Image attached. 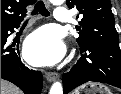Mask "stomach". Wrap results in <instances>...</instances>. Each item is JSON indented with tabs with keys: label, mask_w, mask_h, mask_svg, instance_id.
Here are the masks:
<instances>
[{
	"label": "stomach",
	"mask_w": 121,
	"mask_h": 94,
	"mask_svg": "<svg viewBox=\"0 0 121 94\" xmlns=\"http://www.w3.org/2000/svg\"><path fill=\"white\" fill-rule=\"evenodd\" d=\"M72 94H112V92L103 84L87 83L75 90Z\"/></svg>",
	"instance_id": "0dacf381"
}]
</instances>
